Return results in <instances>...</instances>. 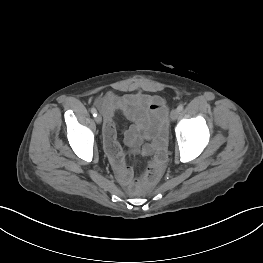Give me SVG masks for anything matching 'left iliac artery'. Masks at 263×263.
I'll use <instances>...</instances> for the list:
<instances>
[{"label": "left iliac artery", "mask_w": 263, "mask_h": 263, "mask_svg": "<svg viewBox=\"0 0 263 263\" xmlns=\"http://www.w3.org/2000/svg\"><path fill=\"white\" fill-rule=\"evenodd\" d=\"M183 108H184L183 105H179V106L177 107V109H178L179 112H181V111L183 110Z\"/></svg>", "instance_id": "left-iliac-artery-1"}]
</instances>
